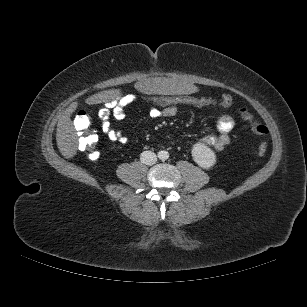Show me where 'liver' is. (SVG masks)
I'll return each instance as SVG.
<instances>
[{
  "label": "liver",
  "mask_w": 307,
  "mask_h": 307,
  "mask_svg": "<svg viewBox=\"0 0 307 307\" xmlns=\"http://www.w3.org/2000/svg\"><path fill=\"white\" fill-rule=\"evenodd\" d=\"M135 88L139 92L145 93H166L172 92L176 94L193 96L198 91V86L190 80L178 79L176 77L167 78H145L136 83ZM119 94V90L104 91L88 97L85 102L89 105L99 104L107 100L115 98ZM78 107V102H72L65 110L57 124L56 141L60 153L65 158H72L77 152V137L71 121V114Z\"/></svg>",
  "instance_id": "1"
}]
</instances>
